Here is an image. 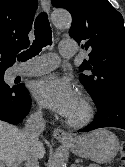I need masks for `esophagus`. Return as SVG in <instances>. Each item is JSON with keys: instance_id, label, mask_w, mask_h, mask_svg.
Here are the masks:
<instances>
[{"instance_id": "34e87169", "label": "esophagus", "mask_w": 125, "mask_h": 167, "mask_svg": "<svg viewBox=\"0 0 125 167\" xmlns=\"http://www.w3.org/2000/svg\"><path fill=\"white\" fill-rule=\"evenodd\" d=\"M41 7H42L43 11L49 12L50 0H41ZM53 136L57 140H71L73 138L70 133L65 132L64 130H62L60 128H55L54 129Z\"/></svg>"}]
</instances>
